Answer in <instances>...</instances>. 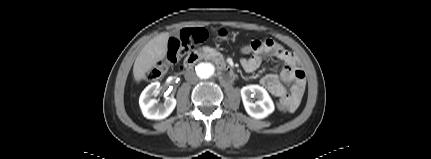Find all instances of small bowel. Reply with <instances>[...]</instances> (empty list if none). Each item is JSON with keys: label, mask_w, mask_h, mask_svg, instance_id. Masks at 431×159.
Instances as JSON below:
<instances>
[{"label": "small bowel", "mask_w": 431, "mask_h": 159, "mask_svg": "<svg viewBox=\"0 0 431 159\" xmlns=\"http://www.w3.org/2000/svg\"><path fill=\"white\" fill-rule=\"evenodd\" d=\"M248 44L252 45L253 50L246 54L250 57L241 59L243 69L246 72L257 70L266 55L281 60L284 66L280 74L265 75L261 84L282 101L287 111H296L305 91V72L299 67L297 57L271 39L253 40ZM286 85L290 86L289 91Z\"/></svg>", "instance_id": "obj_1"}]
</instances>
